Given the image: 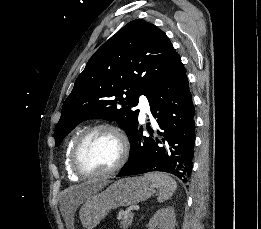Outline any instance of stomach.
Returning a JSON list of instances; mask_svg holds the SVG:
<instances>
[{
    "mask_svg": "<svg viewBox=\"0 0 261 229\" xmlns=\"http://www.w3.org/2000/svg\"><path fill=\"white\" fill-rule=\"evenodd\" d=\"M100 181H94L89 185H96ZM106 187L107 183L104 181ZM104 189V187H103ZM155 193V185L145 177H127L109 185L105 191L95 193L86 199L79 213L80 221L85 229H94L101 219L106 217L110 209L137 205L141 201H147Z\"/></svg>",
    "mask_w": 261,
    "mask_h": 229,
    "instance_id": "0dacf381",
    "label": "stomach"
}]
</instances>
